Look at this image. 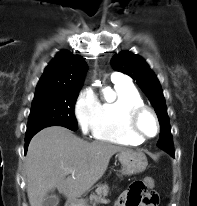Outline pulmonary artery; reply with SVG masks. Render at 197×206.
Here are the masks:
<instances>
[{
    "label": "pulmonary artery",
    "mask_w": 197,
    "mask_h": 206,
    "mask_svg": "<svg viewBox=\"0 0 197 206\" xmlns=\"http://www.w3.org/2000/svg\"><path fill=\"white\" fill-rule=\"evenodd\" d=\"M113 82H126L127 78L121 73H113L111 76Z\"/></svg>",
    "instance_id": "1"
}]
</instances>
